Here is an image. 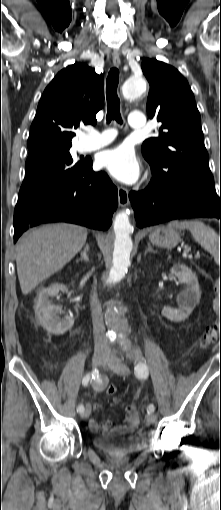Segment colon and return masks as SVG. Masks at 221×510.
Listing matches in <instances>:
<instances>
[{"label":"colon","mask_w":221,"mask_h":510,"mask_svg":"<svg viewBox=\"0 0 221 510\" xmlns=\"http://www.w3.org/2000/svg\"><path fill=\"white\" fill-rule=\"evenodd\" d=\"M217 340H221V322L219 325L211 326L207 329L201 341V346L204 348H208L212 346ZM116 391L117 389L114 385L109 386L107 390L109 395H114ZM138 418H139L138 412L133 411L130 415V420L137 422Z\"/></svg>","instance_id":"1"}]
</instances>
